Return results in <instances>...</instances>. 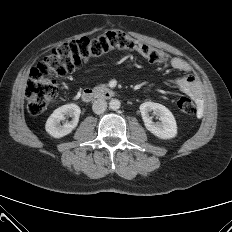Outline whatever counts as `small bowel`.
I'll use <instances>...</instances> for the list:
<instances>
[{
	"instance_id": "1",
	"label": "small bowel",
	"mask_w": 232,
	"mask_h": 232,
	"mask_svg": "<svg viewBox=\"0 0 232 232\" xmlns=\"http://www.w3.org/2000/svg\"><path fill=\"white\" fill-rule=\"evenodd\" d=\"M171 66L184 73L183 76L177 79V85L183 93L188 94L197 102L200 112L203 106L201 85L194 75L191 65L180 57H174L171 60Z\"/></svg>"
}]
</instances>
